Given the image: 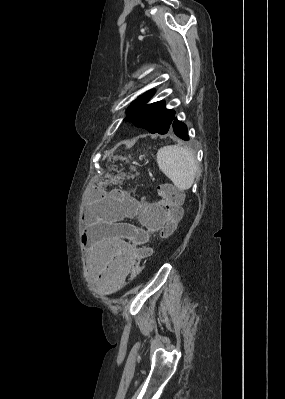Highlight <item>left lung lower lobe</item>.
Masks as SVG:
<instances>
[{
  "label": "left lung lower lobe",
  "mask_w": 285,
  "mask_h": 399,
  "mask_svg": "<svg viewBox=\"0 0 285 399\" xmlns=\"http://www.w3.org/2000/svg\"><path fill=\"white\" fill-rule=\"evenodd\" d=\"M170 133H175L178 137L182 138L183 140H188L189 136L187 135V127L184 123L179 121L175 116L171 123L169 131Z\"/></svg>",
  "instance_id": "obj_1"
}]
</instances>
